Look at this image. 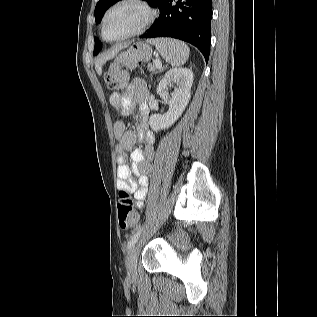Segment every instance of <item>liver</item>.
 Segmentation results:
<instances>
[{
    "label": "liver",
    "mask_w": 317,
    "mask_h": 317,
    "mask_svg": "<svg viewBox=\"0 0 317 317\" xmlns=\"http://www.w3.org/2000/svg\"><path fill=\"white\" fill-rule=\"evenodd\" d=\"M127 47V45H117L107 53H104L101 55L98 59L95 61V70L98 75L102 74V66L106 63V61L112 59L115 57V55L123 48Z\"/></svg>",
    "instance_id": "6515ba94"
}]
</instances>
